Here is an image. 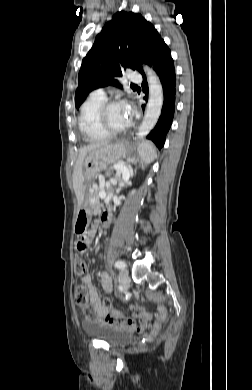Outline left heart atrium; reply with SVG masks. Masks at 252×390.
<instances>
[{
    "label": "left heart atrium",
    "instance_id": "left-heart-atrium-1",
    "mask_svg": "<svg viewBox=\"0 0 252 390\" xmlns=\"http://www.w3.org/2000/svg\"><path fill=\"white\" fill-rule=\"evenodd\" d=\"M120 104H122L126 115L128 116L129 120L131 121V119L133 117V110H132L131 106L126 102H122Z\"/></svg>",
    "mask_w": 252,
    "mask_h": 390
}]
</instances>
